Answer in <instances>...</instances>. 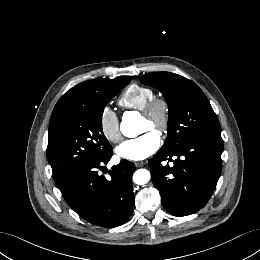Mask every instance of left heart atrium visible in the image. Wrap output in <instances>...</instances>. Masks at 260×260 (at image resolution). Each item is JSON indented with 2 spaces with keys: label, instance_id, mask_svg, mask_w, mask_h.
Instances as JSON below:
<instances>
[{
  "label": "left heart atrium",
  "instance_id": "1",
  "mask_svg": "<svg viewBox=\"0 0 260 260\" xmlns=\"http://www.w3.org/2000/svg\"><path fill=\"white\" fill-rule=\"evenodd\" d=\"M160 144L159 135L153 130H148L137 138L122 142L117 147L116 153L123 159L141 161L155 153Z\"/></svg>",
  "mask_w": 260,
  "mask_h": 260
}]
</instances>
